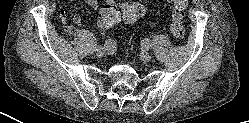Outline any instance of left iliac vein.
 <instances>
[{"mask_svg":"<svg viewBox=\"0 0 249 123\" xmlns=\"http://www.w3.org/2000/svg\"><path fill=\"white\" fill-rule=\"evenodd\" d=\"M140 58L144 62H149L151 60V56L147 51H142L140 53Z\"/></svg>","mask_w":249,"mask_h":123,"instance_id":"obj_1","label":"left iliac vein"}]
</instances>
